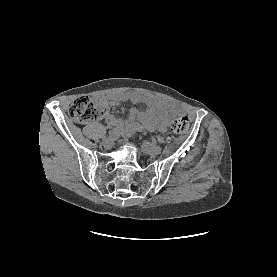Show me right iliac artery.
<instances>
[{
    "mask_svg": "<svg viewBox=\"0 0 277 277\" xmlns=\"http://www.w3.org/2000/svg\"><path fill=\"white\" fill-rule=\"evenodd\" d=\"M121 131V128H113L108 131L107 136H113Z\"/></svg>",
    "mask_w": 277,
    "mask_h": 277,
    "instance_id": "obj_1",
    "label": "right iliac artery"
}]
</instances>
